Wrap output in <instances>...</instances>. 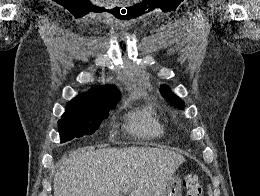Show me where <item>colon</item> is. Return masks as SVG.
<instances>
[{
	"mask_svg": "<svg viewBox=\"0 0 260 196\" xmlns=\"http://www.w3.org/2000/svg\"><path fill=\"white\" fill-rule=\"evenodd\" d=\"M184 185L188 189L187 196H202L203 188L200 178L196 174H189L184 178Z\"/></svg>",
	"mask_w": 260,
	"mask_h": 196,
	"instance_id": "1",
	"label": "colon"
}]
</instances>
